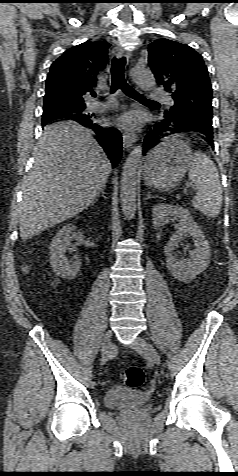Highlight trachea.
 I'll list each match as a JSON object with an SVG mask.
<instances>
[{"mask_svg":"<svg viewBox=\"0 0 238 476\" xmlns=\"http://www.w3.org/2000/svg\"><path fill=\"white\" fill-rule=\"evenodd\" d=\"M126 64V58H116L114 57L111 64V93H114L118 88H120L127 96L137 100V101H144V102H154L151 100L146 99L145 97L141 96L137 93L132 87H130L124 77V68ZM96 96V93L92 94Z\"/></svg>","mask_w":238,"mask_h":476,"instance_id":"trachea-1","label":"trachea"}]
</instances>
